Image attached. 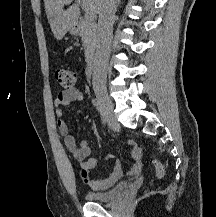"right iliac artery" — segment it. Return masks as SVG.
<instances>
[{
  "mask_svg": "<svg viewBox=\"0 0 216 217\" xmlns=\"http://www.w3.org/2000/svg\"><path fill=\"white\" fill-rule=\"evenodd\" d=\"M92 104L96 107V109L99 111L101 117H102V123L105 124L106 123V118H105V114L102 108L101 103L99 102L98 99L93 98L92 99Z\"/></svg>",
  "mask_w": 216,
  "mask_h": 217,
  "instance_id": "obj_1",
  "label": "right iliac artery"
}]
</instances>
